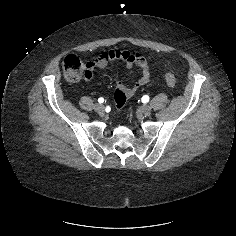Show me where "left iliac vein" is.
Instances as JSON below:
<instances>
[{
	"label": "left iliac vein",
	"mask_w": 236,
	"mask_h": 236,
	"mask_svg": "<svg viewBox=\"0 0 236 236\" xmlns=\"http://www.w3.org/2000/svg\"><path fill=\"white\" fill-rule=\"evenodd\" d=\"M140 111L144 115H150L152 112V109L149 105L144 104L141 106Z\"/></svg>",
	"instance_id": "1"
}]
</instances>
